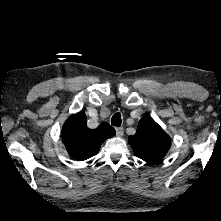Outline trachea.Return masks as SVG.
<instances>
[{"mask_svg": "<svg viewBox=\"0 0 221 221\" xmlns=\"http://www.w3.org/2000/svg\"><path fill=\"white\" fill-rule=\"evenodd\" d=\"M121 114L120 113H116L112 116V119H111V123L112 125L114 126H120L121 125Z\"/></svg>", "mask_w": 221, "mask_h": 221, "instance_id": "trachea-1", "label": "trachea"}]
</instances>
